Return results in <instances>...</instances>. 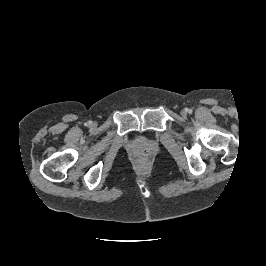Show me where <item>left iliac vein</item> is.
Wrapping results in <instances>:
<instances>
[{
	"label": "left iliac vein",
	"mask_w": 266,
	"mask_h": 266,
	"mask_svg": "<svg viewBox=\"0 0 266 266\" xmlns=\"http://www.w3.org/2000/svg\"><path fill=\"white\" fill-rule=\"evenodd\" d=\"M187 113L185 111H181V116L186 117Z\"/></svg>",
	"instance_id": "obj_1"
}]
</instances>
